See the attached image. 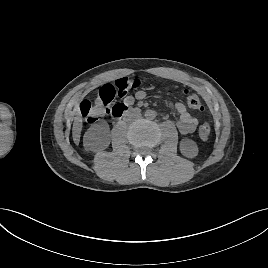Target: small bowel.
Returning <instances> with one entry per match:
<instances>
[{"mask_svg": "<svg viewBox=\"0 0 268 268\" xmlns=\"http://www.w3.org/2000/svg\"><path fill=\"white\" fill-rule=\"evenodd\" d=\"M160 90L167 91L168 88L166 86H162L160 87ZM147 95L148 92L146 90L140 89L136 91L134 95L126 96L123 103L131 106L134 104L135 100H143L147 97ZM174 111L179 117L176 123L179 132L182 134H189L194 132L199 123L197 116L190 113L183 103H176L174 105Z\"/></svg>", "mask_w": 268, "mask_h": 268, "instance_id": "c3829d8e", "label": "small bowel"}]
</instances>
